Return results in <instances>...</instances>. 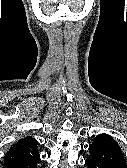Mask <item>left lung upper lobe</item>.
Masks as SVG:
<instances>
[{
  "instance_id": "left-lung-upper-lobe-1",
  "label": "left lung upper lobe",
  "mask_w": 127,
  "mask_h": 168,
  "mask_svg": "<svg viewBox=\"0 0 127 168\" xmlns=\"http://www.w3.org/2000/svg\"><path fill=\"white\" fill-rule=\"evenodd\" d=\"M97 137H105V138H109V139L113 140V138H111L109 135H106V134H100ZM113 141L116 142L115 140H113Z\"/></svg>"
}]
</instances>
